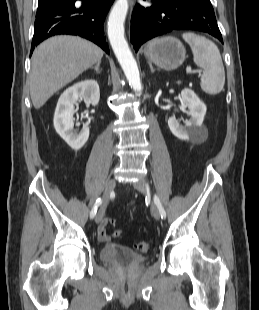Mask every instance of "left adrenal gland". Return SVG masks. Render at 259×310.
Returning <instances> with one entry per match:
<instances>
[{
	"instance_id": "a2214340",
	"label": "left adrenal gland",
	"mask_w": 259,
	"mask_h": 310,
	"mask_svg": "<svg viewBox=\"0 0 259 310\" xmlns=\"http://www.w3.org/2000/svg\"><path fill=\"white\" fill-rule=\"evenodd\" d=\"M149 66H150L151 73H154V72H155V69H153V66H152L151 63H149Z\"/></svg>"
}]
</instances>
